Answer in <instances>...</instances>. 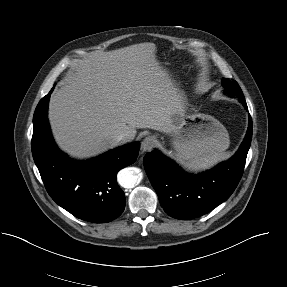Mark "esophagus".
I'll return each mask as SVG.
<instances>
[{
	"mask_svg": "<svg viewBox=\"0 0 287 287\" xmlns=\"http://www.w3.org/2000/svg\"><path fill=\"white\" fill-rule=\"evenodd\" d=\"M157 140L155 136H147L145 139L142 141L141 144V150L142 152H146L151 150L154 145L156 144Z\"/></svg>",
	"mask_w": 287,
	"mask_h": 287,
	"instance_id": "obj_1",
	"label": "esophagus"
}]
</instances>
